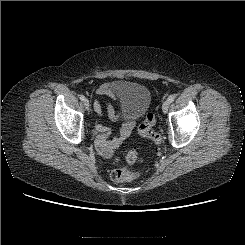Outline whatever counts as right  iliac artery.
<instances>
[{
  "label": "right iliac artery",
  "instance_id": "right-iliac-artery-1",
  "mask_svg": "<svg viewBox=\"0 0 245 245\" xmlns=\"http://www.w3.org/2000/svg\"><path fill=\"white\" fill-rule=\"evenodd\" d=\"M79 98L82 100V101H84L86 98H85V96L84 95H79Z\"/></svg>",
  "mask_w": 245,
  "mask_h": 245
}]
</instances>
